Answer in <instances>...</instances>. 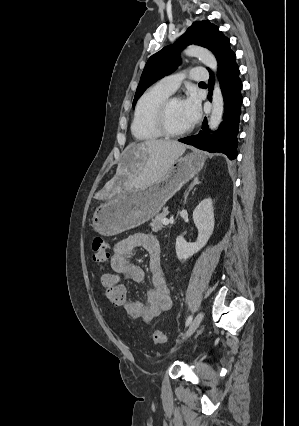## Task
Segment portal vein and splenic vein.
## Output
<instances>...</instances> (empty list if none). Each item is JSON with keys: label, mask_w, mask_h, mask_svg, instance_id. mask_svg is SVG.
Wrapping results in <instances>:
<instances>
[{"label": "portal vein and splenic vein", "mask_w": 299, "mask_h": 426, "mask_svg": "<svg viewBox=\"0 0 299 426\" xmlns=\"http://www.w3.org/2000/svg\"><path fill=\"white\" fill-rule=\"evenodd\" d=\"M162 223H163L164 225H168V224L170 223V221H169L167 218H164V219L162 220Z\"/></svg>", "instance_id": "18ae733b"}]
</instances>
